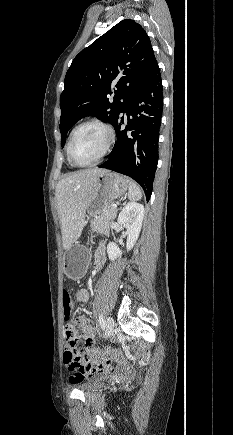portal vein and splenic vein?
<instances>
[{
    "label": "portal vein and splenic vein",
    "mask_w": 233,
    "mask_h": 435,
    "mask_svg": "<svg viewBox=\"0 0 233 435\" xmlns=\"http://www.w3.org/2000/svg\"><path fill=\"white\" fill-rule=\"evenodd\" d=\"M112 207H113V208H117V205H116V204H113Z\"/></svg>",
    "instance_id": "portal-vein-and-splenic-vein-1"
}]
</instances>
